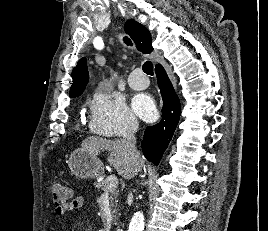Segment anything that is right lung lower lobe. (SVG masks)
<instances>
[{"instance_id": "obj_1", "label": "right lung lower lobe", "mask_w": 268, "mask_h": 231, "mask_svg": "<svg viewBox=\"0 0 268 231\" xmlns=\"http://www.w3.org/2000/svg\"><path fill=\"white\" fill-rule=\"evenodd\" d=\"M158 86L163 98L162 120L146 128L142 142L144 156L158 165L167 148L180 118V101L161 65L155 67Z\"/></svg>"}]
</instances>
